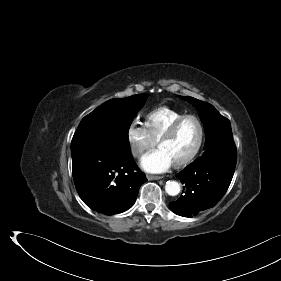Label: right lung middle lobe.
Returning <instances> with one entry per match:
<instances>
[{"instance_id":"right-lung-middle-lobe-1","label":"right lung middle lobe","mask_w":281,"mask_h":281,"mask_svg":"<svg viewBox=\"0 0 281 281\" xmlns=\"http://www.w3.org/2000/svg\"><path fill=\"white\" fill-rule=\"evenodd\" d=\"M148 94L103 103L80 122L71 142L72 157L88 152L130 150L128 131Z\"/></svg>"}]
</instances>
